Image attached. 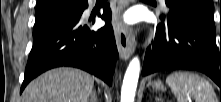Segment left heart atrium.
Returning <instances> with one entry per match:
<instances>
[{
  "label": "left heart atrium",
  "mask_w": 221,
  "mask_h": 102,
  "mask_svg": "<svg viewBox=\"0 0 221 102\" xmlns=\"http://www.w3.org/2000/svg\"><path fill=\"white\" fill-rule=\"evenodd\" d=\"M131 21H132V18L129 14H125L122 17V22L125 23V24H129V23H131Z\"/></svg>",
  "instance_id": "39dd6f15"
}]
</instances>
